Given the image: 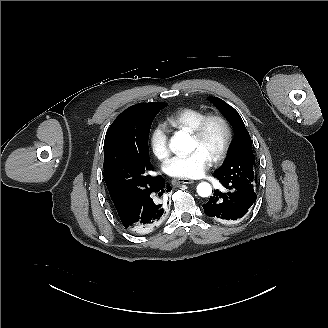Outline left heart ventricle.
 <instances>
[{"mask_svg":"<svg viewBox=\"0 0 328 328\" xmlns=\"http://www.w3.org/2000/svg\"><path fill=\"white\" fill-rule=\"evenodd\" d=\"M225 136L226 132L223 125L214 121L208 126L206 134L201 141H196L191 137L190 151L199 149L212 159L222 148Z\"/></svg>","mask_w":328,"mask_h":328,"instance_id":"left-heart-ventricle-1","label":"left heart ventricle"}]
</instances>
